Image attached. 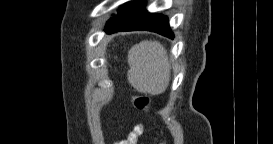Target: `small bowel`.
Returning <instances> with one entry per match:
<instances>
[{
  "mask_svg": "<svg viewBox=\"0 0 273 144\" xmlns=\"http://www.w3.org/2000/svg\"><path fill=\"white\" fill-rule=\"evenodd\" d=\"M144 127L142 124L137 125L132 132L130 133L128 139L125 141V144H135L140 135H142Z\"/></svg>",
  "mask_w": 273,
  "mask_h": 144,
  "instance_id": "1",
  "label": "small bowel"
}]
</instances>
